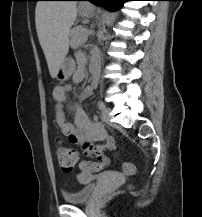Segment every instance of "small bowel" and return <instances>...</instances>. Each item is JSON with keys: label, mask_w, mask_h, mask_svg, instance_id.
Here are the masks:
<instances>
[{"label": "small bowel", "mask_w": 202, "mask_h": 217, "mask_svg": "<svg viewBox=\"0 0 202 217\" xmlns=\"http://www.w3.org/2000/svg\"><path fill=\"white\" fill-rule=\"evenodd\" d=\"M78 62L79 66L72 76L75 83L81 82L84 78V58L81 55L78 57ZM93 63L97 64L95 61ZM96 85V83H92L84 88L80 95L81 99L90 97ZM69 91V86H57L53 90V98L56 102L55 120L61 132L69 136L72 143L79 145L86 155L96 156L105 165H109L110 161L103 156V152L105 150H115L113 137L107 135L97 117L90 119L78 104L69 105L74 114V123L67 120L63 104Z\"/></svg>", "instance_id": "small-bowel-1"}]
</instances>
